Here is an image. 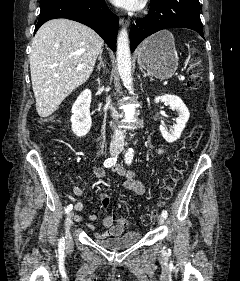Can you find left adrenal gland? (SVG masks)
<instances>
[{"label": "left adrenal gland", "mask_w": 240, "mask_h": 281, "mask_svg": "<svg viewBox=\"0 0 240 281\" xmlns=\"http://www.w3.org/2000/svg\"><path fill=\"white\" fill-rule=\"evenodd\" d=\"M141 72L143 73V77H147L148 76L151 81L154 80L153 77H151L149 74H146L145 71H143L142 69H141Z\"/></svg>", "instance_id": "left-adrenal-gland-1"}]
</instances>
